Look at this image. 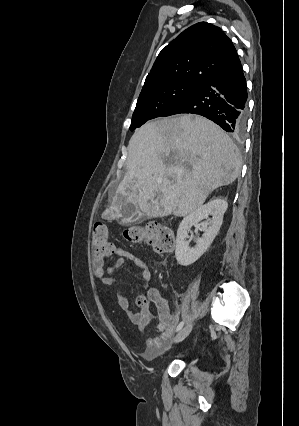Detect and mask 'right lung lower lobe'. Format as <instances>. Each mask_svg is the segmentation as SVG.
Segmentation results:
<instances>
[{"label": "right lung lower lobe", "instance_id": "98d812e1", "mask_svg": "<svg viewBox=\"0 0 299 426\" xmlns=\"http://www.w3.org/2000/svg\"><path fill=\"white\" fill-rule=\"evenodd\" d=\"M247 90L240 60L172 106L162 117L191 113L202 115L227 132L240 134L246 122Z\"/></svg>", "mask_w": 299, "mask_h": 426}]
</instances>
